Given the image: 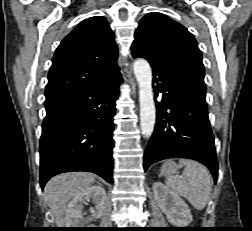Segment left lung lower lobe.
<instances>
[{
    "instance_id": "1",
    "label": "left lung lower lobe",
    "mask_w": 252,
    "mask_h": 231,
    "mask_svg": "<svg viewBox=\"0 0 252 231\" xmlns=\"http://www.w3.org/2000/svg\"><path fill=\"white\" fill-rule=\"evenodd\" d=\"M156 126L144 153V170L167 158H188L207 166L217 181L218 163L208 119L204 78L180 68L153 67Z\"/></svg>"
}]
</instances>
